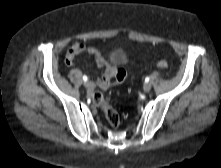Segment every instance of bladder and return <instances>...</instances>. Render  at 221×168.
Returning <instances> with one entry per match:
<instances>
[{
    "label": "bladder",
    "mask_w": 221,
    "mask_h": 168,
    "mask_svg": "<svg viewBox=\"0 0 221 168\" xmlns=\"http://www.w3.org/2000/svg\"><path fill=\"white\" fill-rule=\"evenodd\" d=\"M111 57L115 64H123L126 61V54L121 49H115Z\"/></svg>",
    "instance_id": "bladder-1"
}]
</instances>
